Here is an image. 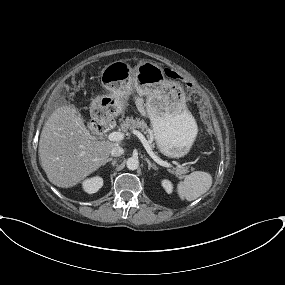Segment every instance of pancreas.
Wrapping results in <instances>:
<instances>
[{
  "label": "pancreas",
  "instance_id": "cf45deb5",
  "mask_svg": "<svg viewBox=\"0 0 285 285\" xmlns=\"http://www.w3.org/2000/svg\"><path fill=\"white\" fill-rule=\"evenodd\" d=\"M135 128L140 129L142 132L147 134L149 139H152L153 134L151 129L147 126L146 122L143 120H140L138 118L133 119L132 117H126L125 119H121V124L119 126V130L123 132H127L128 130H133ZM188 166H178L174 169V173L179 177L183 178L184 174L188 172Z\"/></svg>",
  "mask_w": 285,
  "mask_h": 285
}]
</instances>
